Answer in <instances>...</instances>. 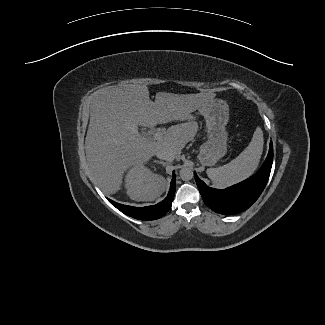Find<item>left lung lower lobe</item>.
Returning <instances> with one entry per match:
<instances>
[{"label": "left lung lower lobe", "instance_id": "obj_1", "mask_svg": "<svg viewBox=\"0 0 325 325\" xmlns=\"http://www.w3.org/2000/svg\"><path fill=\"white\" fill-rule=\"evenodd\" d=\"M273 145L262 167L252 177L223 190L208 187L194 172L200 194L207 206L217 213L232 215L248 209L260 196L269 179Z\"/></svg>", "mask_w": 325, "mask_h": 325}]
</instances>
